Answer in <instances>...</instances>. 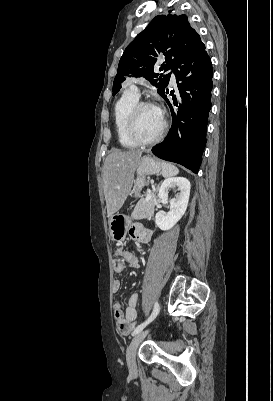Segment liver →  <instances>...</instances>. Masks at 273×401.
I'll return each instance as SVG.
<instances>
[{"mask_svg": "<svg viewBox=\"0 0 273 401\" xmlns=\"http://www.w3.org/2000/svg\"><path fill=\"white\" fill-rule=\"evenodd\" d=\"M141 150L112 148L103 166V190L107 217H112L124 205L131 190L134 172L140 162Z\"/></svg>", "mask_w": 273, "mask_h": 401, "instance_id": "liver-1", "label": "liver"}]
</instances>
